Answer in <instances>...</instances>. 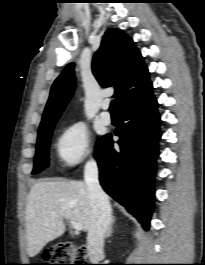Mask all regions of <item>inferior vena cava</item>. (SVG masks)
I'll list each match as a JSON object with an SVG mask.
<instances>
[{
  "instance_id": "inferior-vena-cava-1",
  "label": "inferior vena cava",
  "mask_w": 205,
  "mask_h": 265,
  "mask_svg": "<svg viewBox=\"0 0 205 265\" xmlns=\"http://www.w3.org/2000/svg\"><path fill=\"white\" fill-rule=\"evenodd\" d=\"M84 179L88 187L91 205V224L87 236L90 261L97 262L103 256L104 237L111 222L109 198L98 180V166L95 160L86 163Z\"/></svg>"
}]
</instances>
